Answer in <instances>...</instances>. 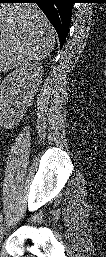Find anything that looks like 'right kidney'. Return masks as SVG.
<instances>
[{"label":"right kidney","instance_id":"obj_1","mask_svg":"<svg viewBox=\"0 0 106 257\" xmlns=\"http://www.w3.org/2000/svg\"><path fill=\"white\" fill-rule=\"evenodd\" d=\"M42 73L38 62L25 63L2 80L0 110L6 121L14 123L23 116L41 83Z\"/></svg>","mask_w":106,"mask_h":257}]
</instances>
